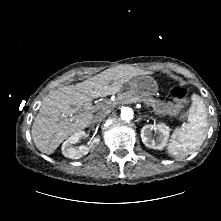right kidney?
<instances>
[{
  "instance_id": "obj_1",
  "label": "right kidney",
  "mask_w": 221,
  "mask_h": 221,
  "mask_svg": "<svg viewBox=\"0 0 221 221\" xmlns=\"http://www.w3.org/2000/svg\"><path fill=\"white\" fill-rule=\"evenodd\" d=\"M86 136V133L84 131H79L74 133L71 137H69L62 145V154L71 159H79L82 156L88 154L90 149H94L95 146L99 143L100 138L96 137L94 138L93 142L89 147L87 146H74L76 143H78L82 138Z\"/></svg>"
}]
</instances>
